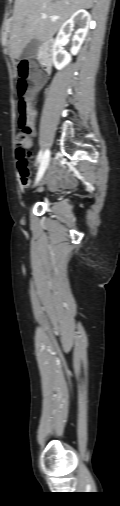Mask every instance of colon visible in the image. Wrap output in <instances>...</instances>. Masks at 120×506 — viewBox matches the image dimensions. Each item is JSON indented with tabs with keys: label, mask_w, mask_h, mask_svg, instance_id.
Wrapping results in <instances>:
<instances>
[{
	"label": "colon",
	"mask_w": 120,
	"mask_h": 506,
	"mask_svg": "<svg viewBox=\"0 0 120 506\" xmlns=\"http://www.w3.org/2000/svg\"><path fill=\"white\" fill-rule=\"evenodd\" d=\"M19 81H18V91L20 94V98L18 100V125L20 128V132L16 136V156H17V167L19 173L23 177H27L29 175V152L32 146V116L29 111L27 100L24 97V93L26 91L27 83L26 79L31 76L33 73L35 77H38L40 73L36 71H32L27 62L28 57L26 55H21L19 57Z\"/></svg>",
	"instance_id": "colon-1"
}]
</instances>
